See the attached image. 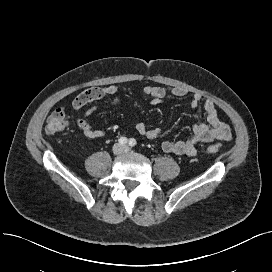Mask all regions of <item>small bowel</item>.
I'll return each mask as SVG.
<instances>
[{
    "instance_id": "1",
    "label": "small bowel",
    "mask_w": 272,
    "mask_h": 272,
    "mask_svg": "<svg viewBox=\"0 0 272 272\" xmlns=\"http://www.w3.org/2000/svg\"><path fill=\"white\" fill-rule=\"evenodd\" d=\"M121 89L120 85H109L92 87L83 91L73 102L72 106L76 112L86 106L87 104L103 99L106 96L114 95ZM144 93L150 98L153 105L160 104L167 95L175 97H184L188 95V91L183 87L164 88L156 86H146ZM203 104L206 114L207 123H197L192 128V134L187 139L173 141L165 139L162 142V150L167 153L177 155H184L192 157L196 155V144L210 143L214 141H229L232 133L228 124H226L219 116L218 108L212 100H202L201 95L193 94L190 105L192 108ZM120 106L117 99H113L110 103L104 105H92L83 113L78 114L76 123L84 136L90 139L101 138L105 136V131L94 128L90 122L89 117L95 113L99 108L114 109ZM135 131L145 136L148 139L154 140L161 136L160 128H148L144 123L139 122L134 127Z\"/></svg>"
}]
</instances>
